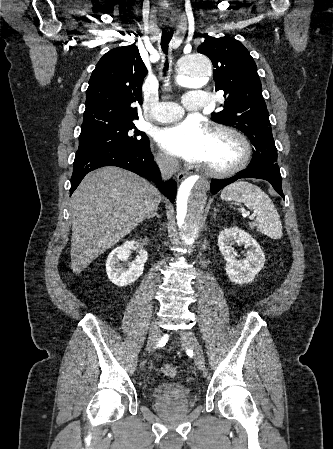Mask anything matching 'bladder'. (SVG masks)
<instances>
[{
    "label": "bladder",
    "instance_id": "1",
    "mask_svg": "<svg viewBox=\"0 0 333 449\" xmlns=\"http://www.w3.org/2000/svg\"><path fill=\"white\" fill-rule=\"evenodd\" d=\"M149 394L154 402H164L170 399L188 402L192 399L190 388L177 381L157 384L150 389Z\"/></svg>",
    "mask_w": 333,
    "mask_h": 449
}]
</instances>
